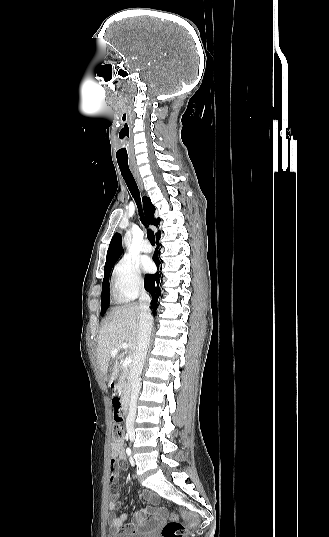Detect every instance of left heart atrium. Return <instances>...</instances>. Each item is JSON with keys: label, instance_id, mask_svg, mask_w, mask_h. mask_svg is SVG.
Returning a JSON list of instances; mask_svg holds the SVG:
<instances>
[{"label": "left heart atrium", "instance_id": "obj_1", "mask_svg": "<svg viewBox=\"0 0 329 537\" xmlns=\"http://www.w3.org/2000/svg\"><path fill=\"white\" fill-rule=\"evenodd\" d=\"M140 264L143 268L144 271H150L152 269V262L149 258L147 257H143L141 260H140Z\"/></svg>", "mask_w": 329, "mask_h": 537}]
</instances>
